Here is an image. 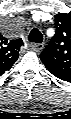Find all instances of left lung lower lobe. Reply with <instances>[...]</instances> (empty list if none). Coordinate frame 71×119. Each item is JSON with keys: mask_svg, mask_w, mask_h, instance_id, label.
<instances>
[{"mask_svg": "<svg viewBox=\"0 0 71 119\" xmlns=\"http://www.w3.org/2000/svg\"><path fill=\"white\" fill-rule=\"evenodd\" d=\"M49 72L61 80L68 81V82L71 81L70 73H64V72L55 71V70H49Z\"/></svg>", "mask_w": 71, "mask_h": 119, "instance_id": "obj_1", "label": "left lung lower lobe"}]
</instances>
